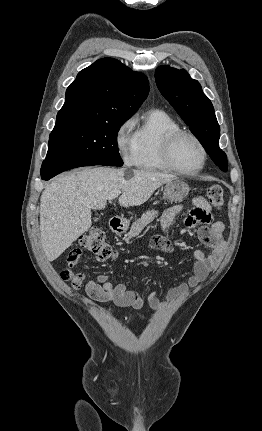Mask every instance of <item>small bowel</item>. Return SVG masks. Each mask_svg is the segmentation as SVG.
Instances as JSON below:
<instances>
[{"mask_svg": "<svg viewBox=\"0 0 262 431\" xmlns=\"http://www.w3.org/2000/svg\"><path fill=\"white\" fill-rule=\"evenodd\" d=\"M191 206L194 208L195 213L186 219V225L201 224L198 231L199 237L205 245L211 248V253L206 254L200 249L194 250V273L186 282L178 284L168 292L167 299L171 303L179 301L201 283L218 266L226 250L223 236L225 225L216 218L206 198L202 196L195 197L191 202ZM181 210L182 206H175L163 213L160 224L164 232H167L173 225L176 215ZM164 239L165 243L155 248L167 253L172 252V245L166 237ZM81 285L82 282L80 281L72 284L74 288H79ZM85 291L92 299L103 303H112L117 307L141 309L144 306V300L139 292L128 289L123 283L114 284L106 275H101L98 280L86 281ZM147 299L154 309L162 306V301L154 291L147 294Z\"/></svg>", "mask_w": 262, "mask_h": 431, "instance_id": "1", "label": "small bowel"}]
</instances>
